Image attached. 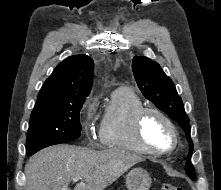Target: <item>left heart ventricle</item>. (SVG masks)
I'll return each instance as SVG.
<instances>
[{
	"mask_svg": "<svg viewBox=\"0 0 221 190\" xmlns=\"http://www.w3.org/2000/svg\"><path fill=\"white\" fill-rule=\"evenodd\" d=\"M143 136L146 142L155 149L171 146L173 136L166 123L157 115L149 114L143 124Z\"/></svg>",
	"mask_w": 221,
	"mask_h": 190,
	"instance_id": "left-heart-ventricle-1",
	"label": "left heart ventricle"
}]
</instances>
